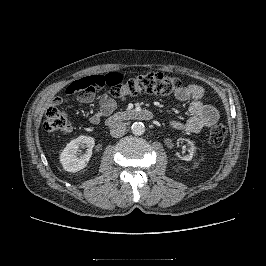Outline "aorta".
I'll return each instance as SVG.
<instances>
[{"label": "aorta", "mask_w": 266, "mask_h": 266, "mask_svg": "<svg viewBox=\"0 0 266 266\" xmlns=\"http://www.w3.org/2000/svg\"><path fill=\"white\" fill-rule=\"evenodd\" d=\"M131 131L134 135H142L145 132V126L142 122H135L131 126Z\"/></svg>", "instance_id": "762f6f07"}]
</instances>
